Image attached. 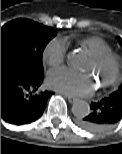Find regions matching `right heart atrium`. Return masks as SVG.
<instances>
[{
    "instance_id": "d8ad5b80",
    "label": "right heart atrium",
    "mask_w": 122,
    "mask_h": 154,
    "mask_svg": "<svg viewBox=\"0 0 122 154\" xmlns=\"http://www.w3.org/2000/svg\"><path fill=\"white\" fill-rule=\"evenodd\" d=\"M67 45L61 38L52 39L43 52L44 62L53 68L61 66L66 58Z\"/></svg>"
}]
</instances>
